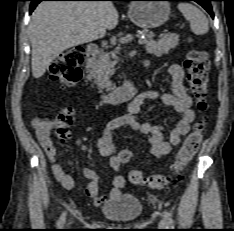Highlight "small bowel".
Listing matches in <instances>:
<instances>
[{"label":"small bowel","mask_w":234,"mask_h":231,"mask_svg":"<svg viewBox=\"0 0 234 231\" xmlns=\"http://www.w3.org/2000/svg\"><path fill=\"white\" fill-rule=\"evenodd\" d=\"M167 74L171 79L172 92L158 93L156 91H145L139 94L128 105V113L117 116L109 120L105 126L102 135L96 140V148L101 156L109 159V165L114 172L112 176L113 187L105 194L99 193V177L95 171L90 168H83L82 175L88 180V183L81 189V192L94 198L96 205H102L107 201L115 199L126 185V179L119 174L121 161L117 154V147L113 140V132L123 126L147 136L149 152L157 158L169 154L174 146H177L181 138L190 131L191 124L194 121L195 114L192 110V99L186 91L183 83L184 72L180 65L172 64L167 69ZM147 101H160L164 105L173 107L180 113L181 117L176 126L170 132L168 138L164 135V126L160 124H151L137 119L142 105ZM54 121H42L39 118L33 120V126L38 134L40 142L44 148L47 157L51 161L56 159V150L48 138V133L52 129ZM52 171L55 178L67 190L78 189L75 179L65 174L59 164H53Z\"/></svg>","instance_id":"obj_1"}]
</instances>
